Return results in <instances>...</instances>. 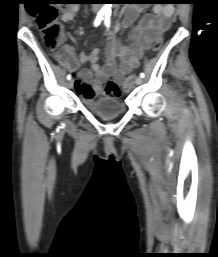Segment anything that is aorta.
Returning a JSON list of instances; mask_svg holds the SVG:
<instances>
[{
	"label": "aorta",
	"instance_id": "obj_1",
	"mask_svg": "<svg viewBox=\"0 0 218 257\" xmlns=\"http://www.w3.org/2000/svg\"><path fill=\"white\" fill-rule=\"evenodd\" d=\"M111 5L112 4H103L101 11L103 13H110L111 12Z\"/></svg>",
	"mask_w": 218,
	"mask_h": 257
}]
</instances>
